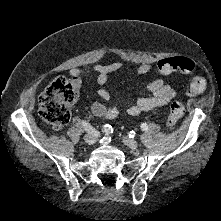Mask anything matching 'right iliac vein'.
<instances>
[{"label": "right iliac vein", "instance_id": "63e3f726", "mask_svg": "<svg viewBox=\"0 0 221 221\" xmlns=\"http://www.w3.org/2000/svg\"><path fill=\"white\" fill-rule=\"evenodd\" d=\"M84 141L88 144H92L96 141V136L93 134H85L83 137Z\"/></svg>", "mask_w": 221, "mask_h": 221}]
</instances>
